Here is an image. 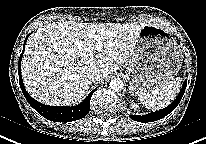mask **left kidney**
<instances>
[{"label":"left kidney","instance_id":"1","mask_svg":"<svg viewBox=\"0 0 206 144\" xmlns=\"http://www.w3.org/2000/svg\"><path fill=\"white\" fill-rule=\"evenodd\" d=\"M131 109L138 110V105L136 103L130 102Z\"/></svg>","mask_w":206,"mask_h":144}]
</instances>
